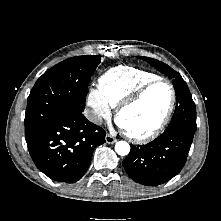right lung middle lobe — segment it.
I'll list each match as a JSON object with an SVG mask.
<instances>
[{
	"instance_id": "right-lung-middle-lobe-1",
	"label": "right lung middle lobe",
	"mask_w": 221,
	"mask_h": 221,
	"mask_svg": "<svg viewBox=\"0 0 221 221\" xmlns=\"http://www.w3.org/2000/svg\"><path fill=\"white\" fill-rule=\"evenodd\" d=\"M100 61L97 55L66 59L36 81L27 100L26 137L56 117L84 111L88 84Z\"/></svg>"
}]
</instances>
